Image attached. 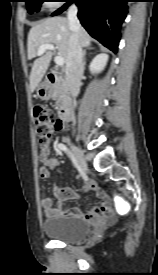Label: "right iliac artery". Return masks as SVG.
<instances>
[{
  "label": "right iliac artery",
  "instance_id": "1",
  "mask_svg": "<svg viewBox=\"0 0 158 275\" xmlns=\"http://www.w3.org/2000/svg\"><path fill=\"white\" fill-rule=\"evenodd\" d=\"M58 147H59L62 151H64L65 153H67V155H68V156L70 157V159L72 160L74 166H75V167H78V162H77L76 158H75L74 155L71 153V151L67 148V146L64 145V144H62V143H60V144L58 145Z\"/></svg>",
  "mask_w": 158,
  "mask_h": 275
}]
</instances>
